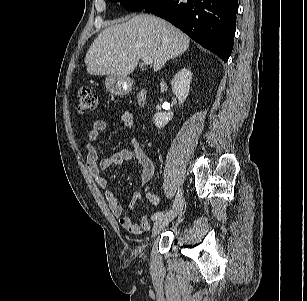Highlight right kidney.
Masks as SVG:
<instances>
[{
    "label": "right kidney",
    "mask_w": 307,
    "mask_h": 301,
    "mask_svg": "<svg viewBox=\"0 0 307 301\" xmlns=\"http://www.w3.org/2000/svg\"><path fill=\"white\" fill-rule=\"evenodd\" d=\"M192 73L189 69L183 68L178 71L172 78L171 85L174 95L179 100V105L186 100L191 83ZM173 118V112L156 113L153 117L154 124L157 128H163Z\"/></svg>",
    "instance_id": "right-kidney-1"
}]
</instances>
